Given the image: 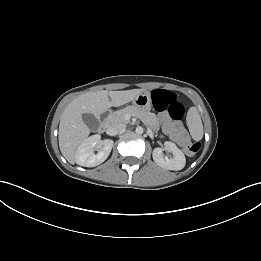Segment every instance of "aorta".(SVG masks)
<instances>
[{
    "mask_svg": "<svg viewBox=\"0 0 261 261\" xmlns=\"http://www.w3.org/2000/svg\"><path fill=\"white\" fill-rule=\"evenodd\" d=\"M136 133L137 134H142L143 133V128L141 126L136 127Z\"/></svg>",
    "mask_w": 261,
    "mask_h": 261,
    "instance_id": "obj_1",
    "label": "aorta"
}]
</instances>
